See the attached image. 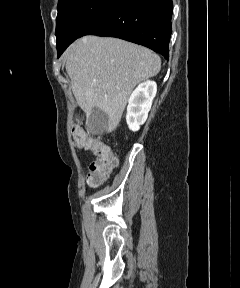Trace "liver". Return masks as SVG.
<instances>
[{
  "label": "liver",
  "mask_w": 240,
  "mask_h": 288,
  "mask_svg": "<svg viewBox=\"0 0 240 288\" xmlns=\"http://www.w3.org/2000/svg\"><path fill=\"white\" fill-rule=\"evenodd\" d=\"M65 61L78 105L87 115L95 107L105 112L108 132L119 125L135 86L161 69L160 57L148 48L112 37L76 40Z\"/></svg>",
  "instance_id": "liver-1"
}]
</instances>
